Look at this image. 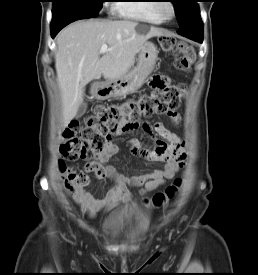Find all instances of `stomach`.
Returning <instances> with one entry per match:
<instances>
[{"mask_svg":"<svg viewBox=\"0 0 258 275\" xmlns=\"http://www.w3.org/2000/svg\"><path fill=\"white\" fill-rule=\"evenodd\" d=\"M157 57V47L152 42H145L140 48L137 65L119 78L94 83L91 87L93 97L106 100L136 92L154 70Z\"/></svg>","mask_w":258,"mask_h":275,"instance_id":"1","label":"stomach"}]
</instances>
